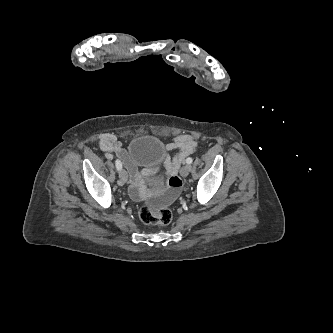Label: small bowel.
Instances as JSON below:
<instances>
[{
  "label": "small bowel",
  "mask_w": 333,
  "mask_h": 333,
  "mask_svg": "<svg viewBox=\"0 0 333 333\" xmlns=\"http://www.w3.org/2000/svg\"><path fill=\"white\" fill-rule=\"evenodd\" d=\"M99 145L102 151L106 153L108 158L112 155L119 157L129 175L130 180V195L134 199H140L144 196V190L142 187V174L134 164V162L127 156L122 144L118 141L117 137L112 133H104L99 139ZM166 149L177 150V153L170 157L169 155L164 157L163 166L165 173L169 176H173L170 179V185L177 190L181 186V181L177 176L179 168L189 155L194 153L197 149L196 138L189 134H182L174 137L170 142L166 144ZM174 195V191L170 190L166 197L170 198Z\"/></svg>",
  "instance_id": "1"
}]
</instances>
